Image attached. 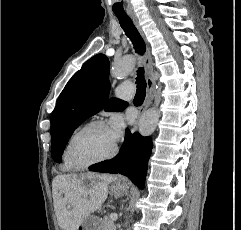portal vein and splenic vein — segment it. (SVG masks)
Returning a JSON list of instances; mask_svg holds the SVG:
<instances>
[{"instance_id": "obj_1", "label": "portal vein and splenic vein", "mask_w": 241, "mask_h": 230, "mask_svg": "<svg viewBox=\"0 0 241 230\" xmlns=\"http://www.w3.org/2000/svg\"><path fill=\"white\" fill-rule=\"evenodd\" d=\"M117 218H118V215L116 213H112L110 215V219L113 220V221L117 220Z\"/></svg>"}]
</instances>
